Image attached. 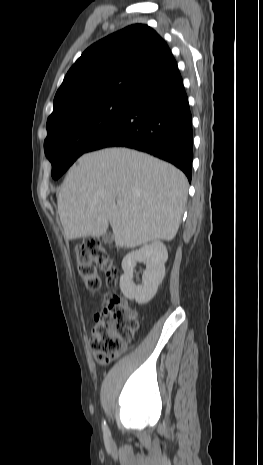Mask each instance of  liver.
Instances as JSON below:
<instances>
[{
  "label": "liver",
  "instance_id": "liver-1",
  "mask_svg": "<svg viewBox=\"0 0 263 465\" xmlns=\"http://www.w3.org/2000/svg\"><path fill=\"white\" fill-rule=\"evenodd\" d=\"M187 191L185 175L169 163L127 148L102 149L69 170L58 213L68 240L100 237L110 224L117 247L135 248L176 236Z\"/></svg>",
  "mask_w": 263,
  "mask_h": 465
}]
</instances>
